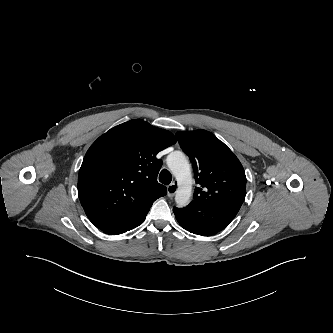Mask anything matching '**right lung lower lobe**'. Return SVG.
<instances>
[{
    "label": "right lung lower lobe",
    "mask_w": 333,
    "mask_h": 333,
    "mask_svg": "<svg viewBox=\"0 0 333 333\" xmlns=\"http://www.w3.org/2000/svg\"><path fill=\"white\" fill-rule=\"evenodd\" d=\"M146 215L147 214H144V215H142L138 218H135L133 220H130L126 223L103 227V228H101V230L110 235L122 234L124 232H127V231L139 226L145 220Z\"/></svg>",
    "instance_id": "obj_1"
}]
</instances>
